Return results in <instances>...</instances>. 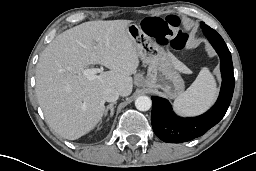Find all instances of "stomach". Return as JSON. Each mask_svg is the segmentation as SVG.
<instances>
[{
  "label": "stomach",
  "mask_w": 256,
  "mask_h": 171,
  "mask_svg": "<svg viewBox=\"0 0 256 171\" xmlns=\"http://www.w3.org/2000/svg\"><path fill=\"white\" fill-rule=\"evenodd\" d=\"M127 32L143 63L148 65L145 84L150 89H161L170 99L184 91V81L180 76L174 56L165 51L141 26L130 23Z\"/></svg>",
  "instance_id": "stomach-1"
}]
</instances>
